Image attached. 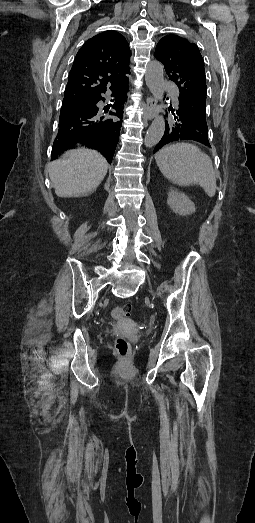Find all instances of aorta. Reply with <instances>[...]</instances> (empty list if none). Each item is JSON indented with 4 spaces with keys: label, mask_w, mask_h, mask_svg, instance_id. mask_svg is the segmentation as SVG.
Masks as SVG:
<instances>
[{
    "label": "aorta",
    "mask_w": 255,
    "mask_h": 523,
    "mask_svg": "<svg viewBox=\"0 0 255 523\" xmlns=\"http://www.w3.org/2000/svg\"><path fill=\"white\" fill-rule=\"evenodd\" d=\"M164 67L159 61H151L146 67L145 81L152 95L162 101L164 95ZM165 131V119L157 115L149 127L144 144L146 147L155 146L162 138Z\"/></svg>",
    "instance_id": "1"
}]
</instances>
